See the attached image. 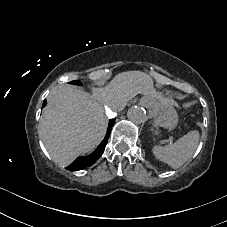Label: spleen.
Returning a JSON list of instances; mask_svg holds the SVG:
<instances>
[{
	"label": "spleen",
	"mask_w": 227,
	"mask_h": 227,
	"mask_svg": "<svg viewBox=\"0 0 227 227\" xmlns=\"http://www.w3.org/2000/svg\"><path fill=\"white\" fill-rule=\"evenodd\" d=\"M199 138V131L193 130L179 138L174 144L156 145L152 151L157 159L177 169L192 156L198 146Z\"/></svg>",
	"instance_id": "spleen-1"
}]
</instances>
